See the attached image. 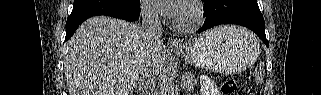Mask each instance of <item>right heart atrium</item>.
Returning <instances> with one entry per match:
<instances>
[{
    "label": "right heart atrium",
    "instance_id": "right-heart-atrium-1",
    "mask_svg": "<svg viewBox=\"0 0 321 95\" xmlns=\"http://www.w3.org/2000/svg\"><path fill=\"white\" fill-rule=\"evenodd\" d=\"M142 12L144 17L150 21H155L158 18L155 8L148 3H144Z\"/></svg>",
    "mask_w": 321,
    "mask_h": 95
}]
</instances>
